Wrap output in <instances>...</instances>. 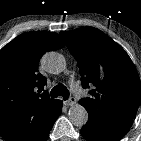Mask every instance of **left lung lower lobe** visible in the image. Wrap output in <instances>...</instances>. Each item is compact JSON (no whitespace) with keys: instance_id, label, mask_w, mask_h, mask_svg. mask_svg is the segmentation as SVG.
<instances>
[{"instance_id":"0a47b994","label":"left lung lower lobe","mask_w":141,"mask_h":141,"mask_svg":"<svg viewBox=\"0 0 141 141\" xmlns=\"http://www.w3.org/2000/svg\"><path fill=\"white\" fill-rule=\"evenodd\" d=\"M89 120L81 129L87 141H119L130 129L132 120H114L89 113Z\"/></svg>"}]
</instances>
